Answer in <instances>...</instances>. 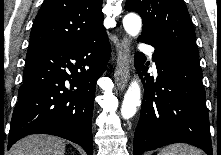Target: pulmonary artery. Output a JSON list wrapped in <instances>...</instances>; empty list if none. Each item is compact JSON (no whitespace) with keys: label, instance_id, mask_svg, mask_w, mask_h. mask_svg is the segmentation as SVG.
<instances>
[{"label":"pulmonary artery","instance_id":"obj_1","mask_svg":"<svg viewBox=\"0 0 221 155\" xmlns=\"http://www.w3.org/2000/svg\"><path fill=\"white\" fill-rule=\"evenodd\" d=\"M144 49L150 54L151 56V52H152V49L150 47H144Z\"/></svg>","mask_w":221,"mask_h":155}]
</instances>
